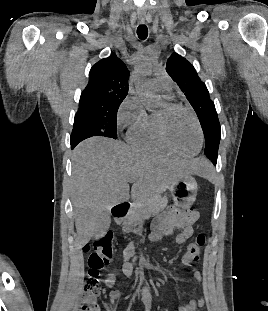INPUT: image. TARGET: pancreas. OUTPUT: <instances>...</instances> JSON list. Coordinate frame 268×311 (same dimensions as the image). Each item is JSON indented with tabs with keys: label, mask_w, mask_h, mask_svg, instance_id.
Masks as SVG:
<instances>
[{
	"label": "pancreas",
	"mask_w": 268,
	"mask_h": 311,
	"mask_svg": "<svg viewBox=\"0 0 268 311\" xmlns=\"http://www.w3.org/2000/svg\"><path fill=\"white\" fill-rule=\"evenodd\" d=\"M167 203V197L162 196L136 201L131 213L120 221L123 231L130 232L134 227L141 226L144 219L165 209Z\"/></svg>",
	"instance_id": "1"
}]
</instances>
